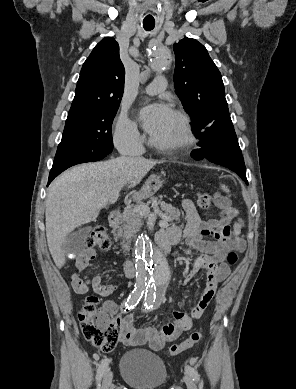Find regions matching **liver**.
<instances>
[{"label":"liver","mask_w":296,"mask_h":389,"mask_svg":"<svg viewBox=\"0 0 296 389\" xmlns=\"http://www.w3.org/2000/svg\"><path fill=\"white\" fill-rule=\"evenodd\" d=\"M156 163L143 157L121 156L73 167L51 183L46 198V237L58 268L66 262L62 249L66 237L76 227L94 221L124 186L138 185Z\"/></svg>","instance_id":"obj_1"}]
</instances>
